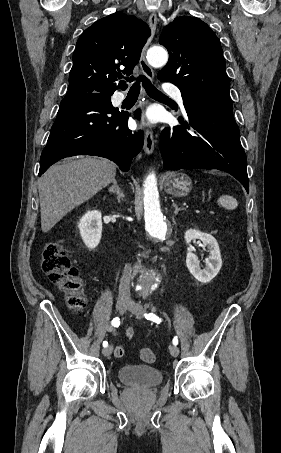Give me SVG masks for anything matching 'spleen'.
Returning a JSON list of instances; mask_svg holds the SVG:
<instances>
[{
    "mask_svg": "<svg viewBox=\"0 0 281 453\" xmlns=\"http://www.w3.org/2000/svg\"><path fill=\"white\" fill-rule=\"evenodd\" d=\"M219 204L224 206V208H228V210H233L238 206V202L234 196H229V194H223V196H219L218 198Z\"/></svg>",
    "mask_w": 281,
    "mask_h": 453,
    "instance_id": "obj_1",
    "label": "spleen"
}]
</instances>
